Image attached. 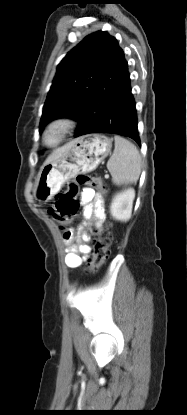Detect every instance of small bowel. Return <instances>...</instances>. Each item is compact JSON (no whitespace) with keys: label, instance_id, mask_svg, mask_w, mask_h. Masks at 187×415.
<instances>
[{"label":"small bowel","instance_id":"c3829d8e","mask_svg":"<svg viewBox=\"0 0 187 415\" xmlns=\"http://www.w3.org/2000/svg\"><path fill=\"white\" fill-rule=\"evenodd\" d=\"M80 201L84 206L83 217L85 220L93 221L96 226H101L105 219V201L100 193L93 189L84 188L80 193ZM89 236L80 232L74 235L72 230L63 234V241L66 246L65 265L68 268L81 266L83 260L90 255L91 248L87 244Z\"/></svg>","mask_w":187,"mask_h":415}]
</instances>
